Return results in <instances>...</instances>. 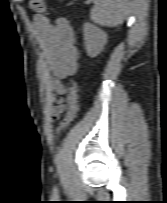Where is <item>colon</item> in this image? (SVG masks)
<instances>
[{
	"label": "colon",
	"mask_w": 167,
	"mask_h": 203,
	"mask_svg": "<svg viewBox=\"0 0 167 203\" xmlns=\"http://www.w3.org/2000/svg\"><path fill=\"white\" fill-rule=\"evenodd\" d=\"M29 7L37 14H46V7L43 0H28ZM77 80L73 79L69 88V112L63 121L59 135H61L75 120L79 112Z\"/></svg>",
	"instance_id": "1"
}]
</instances>
